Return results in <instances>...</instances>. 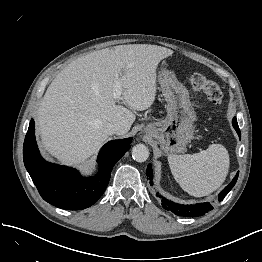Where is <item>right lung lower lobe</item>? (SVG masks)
Returning a JSON list of instances; mask_svg holds the SVG:
<instances>
[{
	"instance_id": "98d812e1",
	"label": "right lung lower lobe",
	"mask_w": 262,
	"mask_h": 262,
	"mask_svg": "<svg viewBox=\"0 0 262 262\" xmlns=\"http://www.w3.org/2000/svg\"><path fill=\"white\" fill-rule=\"evenodd\" d=\"M32 119L23 145L24 164L42 198L67 210H80L93 205L104 193L113 166L130 148L132 138L106 143L98 155L99 172L84 178L73 168L45 161L35 141Z\"/></svg>"
}]
</instances>
